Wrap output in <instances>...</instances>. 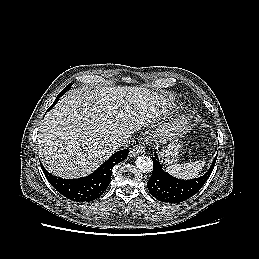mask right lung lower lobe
<instances>
[{"label":"right lung lower lobe","instance_id":"1","mask_svg":"<svg viewBox=\"0 0 259 259\" xmlns=\"http://www.w3.org/2000/svg\"><path fill=\"white\" fill-rule=\"evenodd\" d=\"M62 95V92L57 95L51 107L57 103ZM127 155L128 149L120 150L114 153L92 174L78 179L57 178L51 175L42 165L41 167L48 182L63 196L76 202H89L104 193L111 180L112 168L125 160Z\"/></svg>","mask_w":259,"mask_h":259}]
</instances>
